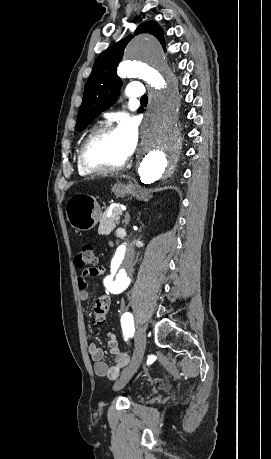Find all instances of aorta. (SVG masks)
<instances>
[{
	"mask_svg": "<svg viewBox=\"0 0 271 459\" xmlns=\"http://www.w3.org/2000/svg\"><path fill=\"white\" fill-rule=\"evenodd\" d=\"M126 57V61L118 67L119 77H140L151 87L138 152L140 180L151 184L170 176L180 157L177 80L164 60L160 44L148 35L135 37L126 48ZM134 258L135 248L131 239L121 241L103 280L111 293L119 294L130 285Z\"/></svg>",
	"mask_w": 271,
	"mask_h": 459,
	"instance_id": "aorta-1",
	"label": "aorta"
}]
</instances>
